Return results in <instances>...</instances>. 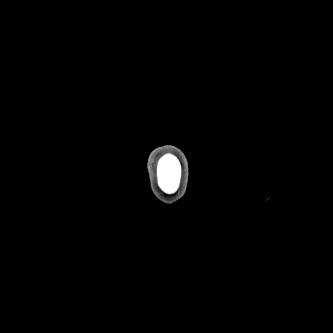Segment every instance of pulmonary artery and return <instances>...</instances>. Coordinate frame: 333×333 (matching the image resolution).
Masks as SVG:
<instances>
[{"mask_svg": "<svg viewBox=\"0 0 333 333\" xmlns=\"http://www.w3.org/2000/svg\"><path fill=\"white\" fill-rule=\"evenodd\" d=\"M75 278L81 283H88L89 273L88 272L76 273Z\"/></svg>", "mask_w": 333, "mask_h": 333, "instance_id": "pulmonary-artery-1", "label": "pulmonary artery"}]
</instances>
